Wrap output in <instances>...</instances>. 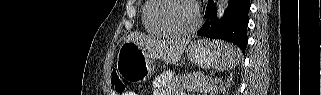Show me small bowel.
<instances>
[{"mask_svg":"<svg viewBox=\"0 0 321 95\" xmlns=\"http://www.w3.org/2000/svg\"><path fill=\"white\" fill-rule=\"evenodd\" d=\"M125 95H132V93L127 92ZM155 95H168V93L157 92V93H155Z\"/></svg>","mask_w":321,"mask_h":95,"instance_id":"small-bowel-1","label":"small bowel"}]
</instances>
